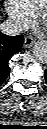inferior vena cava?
<instances>
[{"label": "inferior vena cava", "instance_id": "obj_1", "mask_svg": "<svg viewBox=\"0 0 47 129\" xmlns=\"http://www.w3.org/2000/svg\"><path fill=\"white\" fill-rule=\"evenodd\" d=\"M0 30L3 34L15 36L22 33L24 31V27L21 23L9 19L1 23Z\"/></svg>", "mask_w": 47, "mask_h": 129}]
</instances>
